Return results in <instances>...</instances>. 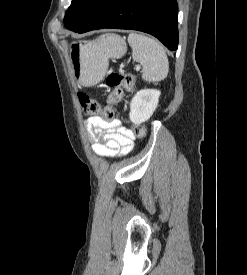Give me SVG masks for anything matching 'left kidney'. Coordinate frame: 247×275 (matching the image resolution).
I'll list each match as a JSON object with an SVG mask.
<instances>
[{
  "instance_id": "5707ae66",
  "label": "left kidney",
  "mask_w": 247,
  "mask_h": 275,
  "mask_svg": "<svg viewBox=\"0 0 247 275\" xmlns=\"http://www.w3.org/2000/svg\"><path fill=\"white\" fill-rule=\"evenodd\" d=\"M160 91L143 89L138 91L130 103L129 118L134 124L147 121L155 111L159 102Z\"/></svg>"
}]
</instances>
